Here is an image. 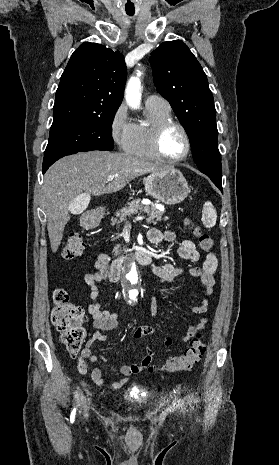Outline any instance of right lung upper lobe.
I'll list each match as a JSON object with an SVG mask.
<instances>
[{
	"mask_svg": "<svg viewBox=\"0 0 279 465\" xmlns=\"http://www.w3.org/2000/svg\"><path fill=\"white\" fill-rule=\"evenodd\" d=\"M126 75L124 57L118 51L96 43L81 44L61 76L52 125L117 110Z\"/></svg>",
	"mask_w": 279,
	"mask_h": 465,
	"instance_id": "cb5924a9",
	"label": "right lung upper lobe"
}]
</instances>
